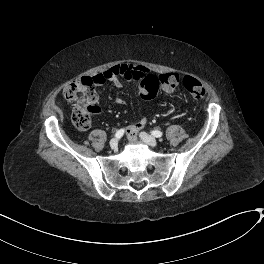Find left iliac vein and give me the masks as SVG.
<instances>
[{"label":"left iliac vein","mask_w":264,"mask_h":264,"mask_svg":"<svg viewBox=\"0 0 264 264\" xmlns=\"http://www.w3.org/2000/svg\"><path fill=\"white\" fill-rule=\"evenodd\" d=\"M139 136L149 146L156 147L158 145V141L145 132H141Z\"/></svg>","instance_id":"1"}]
</instances>
